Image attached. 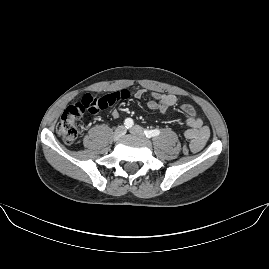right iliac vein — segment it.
Segmentation results:
<instances>
[{
    "mask_svg": "<svg viewBox=\"0 0 269 269\" xmlns=\"http://www.w3.org/2000/svg\"><path fill=\"white\" fill-rule=\"evenodd\" d=\"M126 134V129L124 126H119L116 130H115V133H114V140H119L121 139L124 135Z\"/></svg>",
    "mask_w": 269,
    "mask_h": 269,
    "instance_id": "63e3f726",
    "label": "right iliac vein"
}]
</instances>
